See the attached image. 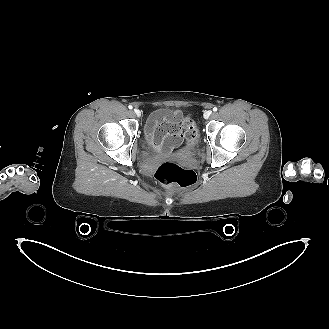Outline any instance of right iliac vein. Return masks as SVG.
<instances>
[{"mask_svg": "<svg viewBox=\"0 0 329 329\" xmlns=\"http://www.w3.org/2000/svg\"><path fill=\"white\" fill-rule=\"evenodd\" d=\"M134 113L140 117L141 116V111L139 109H134Z\"/></svg>", "mask_w": 329, "mask_h": 329, "instance_id": "1", "label": "right iliac vein"}]
</instances>
